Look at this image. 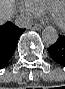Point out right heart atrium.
Returning a JSON list of instances; mask_svg holds the SVG:
<instances>
[{
	"mask_svg": "<svg viewBox=\"0 0 65 89\" xmlns=\"http://www.w3.org/2000/svg\"><path fill=\"white\" fill-rule=\"evenodd\" d=\"M22 10L25 11L27 14H33L34 13L33 10L28 6L27 3L22 6Z\"/></svg>",
	"mask_w": 65,
	"mask_h": 89,
	"instance_id": "1",
	"label": "right heart atrium"
}]
</instances>
